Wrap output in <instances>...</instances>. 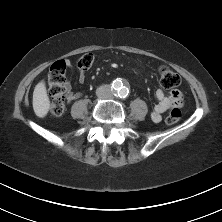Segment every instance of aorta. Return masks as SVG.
<instances>
[{"instance_id": "obj_1", "label": "aorta", "mask_w": 222, "mask_h": 222, "mask_svg": "<svg viewBox=\"0 0 222 222\" xmlns=\"http://www.w3.org/2000/svg\"><path fill=\"white\" fill-rule=\"evenodd\" d=\"M113 88L116 90L118 96L120 97H126L129 93L128 88L123 86L122 82L119 80L114 81Z\"/></svg>"}]
</instances>
